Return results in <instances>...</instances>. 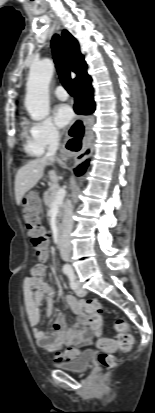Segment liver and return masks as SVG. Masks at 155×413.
Here are the masks:
<instances>
[{
    "mask_svg": "<svg viewBox=\"0 0 155 413\" xmlns=\"http://www.w3.org/2000/svg\"><path fill=\"white\" fill-rule=\"evenodd\" d=\"M49 160L46 157L29 161L22 166L15 177V198L17 205H20L26 192L32 189L43 177L44 169Z\"/></svg>",
    "mask_w": 155,
    "mask_h": 413,
    "instance_id": "6515ba94",
    "label": "liver"
}]
</instances>
